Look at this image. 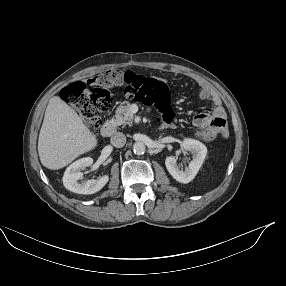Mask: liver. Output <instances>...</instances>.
<instances>
[{"instance_id": "6515ba94", "label": "liver", "mask_w": 286, "mask_h": 286, "mask_svg": "<svg viewBox=\"0 0 286 286\" xmlns=\"http://www.w3.org/2000/svg\"><path fill=\"white\" fill-rule=\"evenodd\" d=\"M97 143L96 136L73 108L58 96L49 100L38 139V153L44 167L61 169L93 150Z\"/></svg>"}]
</instances>
